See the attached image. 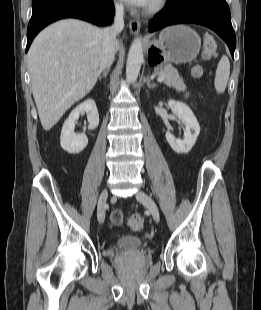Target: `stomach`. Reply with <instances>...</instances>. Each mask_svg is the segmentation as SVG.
Listing matches in <instances>:
<instances>
[{
    "mask_svg": "<svg viewBox=\"0 0 261 310\" xmlns=\"http://www.w3.org/2000/svg\"><path fill=\"white\" fill-rule=\"evenodd\" d=\"M201 39L190 27L174 25L161 31L158 40L148 43V58L152 66L166 63H189L200 50Z\"/></svg>",
    "mask_w": 261,
    "mask_h": 310,
    "instance_id": "0dacf381",
    "label": "stomach"
}]
</instances>
